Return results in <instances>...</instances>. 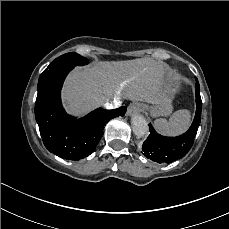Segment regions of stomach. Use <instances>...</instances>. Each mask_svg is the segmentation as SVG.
<instances>
[{"label": "stomach", "instance_id": "1", "mask_svg": "<svg viewBox=\"0 0 229 229\" xmlns=\"http://www.w3.org/2000/svg\"><path fill=\"white\" fill-rule=\"evenodd\" d=\"M144 111L150 112L151 116L159 117V116H169L172 112V106L169 104H159L153 106L142 105Z\"/></svg>", "mask_w": 229, "mask_h": 229}]
</instances>
